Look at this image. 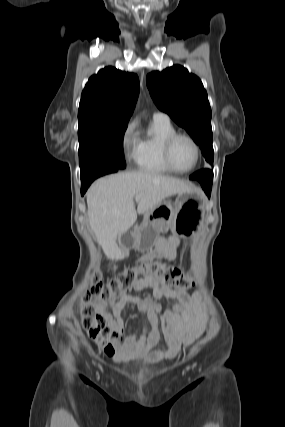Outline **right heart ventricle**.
Listing matches in <instances>:
<instances>
[{"label": "right heart ventricle", "mask_w": 285, "mask_h": 427, "mask_svg": "<svg viewBox=\"0 0 285 427\" xmlns=\"http://www.w3.org/2000/svg\"><path fill=\"white\" fill-rule=\"evenodd\" d=\"M176 132L169 119L153 117L148 128L139 136L133 157L139 170L153 174H170L172 171L163 159L165 140Z\"/></svg>", "instance_id": "right-heart-ventricle-1"}]
</instances>
